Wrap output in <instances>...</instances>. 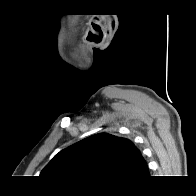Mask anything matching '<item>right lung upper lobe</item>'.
I'll use <instances>...</instances> for the list:
<instances>
[{
	"mask_svg": "<svg viewBox=\"0 0 196 196\" xmlns=\"http://www.w3.org/2000/svg\"><path fill=\"white\" fill-rule=\"evenodd\" d=\"M40 176L55 183L105 188L140 182L149 169L129 139L99 133L60 151Z\"/></svg>",
	"mask_w": 196,
	"mask_h": 196,
	"instance_id": "cb5924a9",
	"label": "right lung upper lobe"
}]
</instances>
